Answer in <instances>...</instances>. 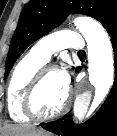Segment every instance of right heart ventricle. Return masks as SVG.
<instances>
[{"label":"right heart ventricle","mask_w":117,"mask_h":136,"mask_svg":"<svg viewBox=\"0 0 117 136\" xmlns=\"http://www.w3.org/2000/svg\"><path fill=\"white\" fill-rule=\"evenodd\" d=\"M45 63L30 51L14 67L6 92L8 113L14 121L29 120V116L23 111L24 93L34 75Z\"/></svg>","instance_id":"right-heart-ventricle-1"}]
</instances>
